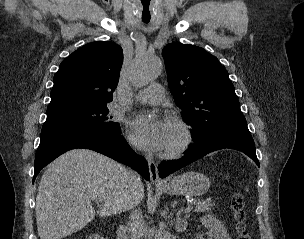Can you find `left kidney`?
Segmentation results:
<instances>
[{
    "label": "left kidney",
    "instance_id": "left-kidney-1",
    "mask_svg": "<svg viewBox=\"0 0 304 239\" xmlns=\"http://www.w3.org/2000/svg\"><path fill=\"white\" fill-rule=\"evenodd\" d=\"M201 223L208 229V239H231L224 224L214 215L202 216Z\"/></svg>",
    "mask_w": 304,
    "mask_h": 239
}]
</instances>
